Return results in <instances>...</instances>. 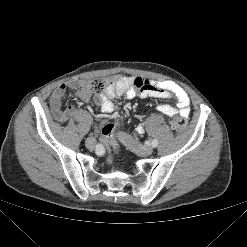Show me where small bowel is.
Returning a JSON list of instances; mask_svg holds the SVG:
<instances>
[{
	"mask_svg": "<svg viewBox=\"0 0 247 247\" xmlns=\"http://www.w3.org/2000/svg\"><path fill=\"white\" fill-rule=\"evenodd\" d=\"M67 90H74L76 96L82 101L88 102L91 99L90 92L83 81L71 80L58 85L50 97V109L54 119L58 122H67L77 114L73 105L62 108V98ZM136 96L152 97L157 99H174L177 101L176 107L169 104H159L157 110L168 116L180 115L184 118L190 116V100L186 91L178 84L171 81H151L144 78L118 77L110 79L106 91L94 98V102L100 107L103 114L110 116L114 111V99L124 97L132 99ZM137 130L142 131V126ZM102 141L105 145L113 143L112 135L103 136Z\"/></svg>",
	"mask_w": 247,
	"mask_h": 247,
	"instance_id": "c3829d8e",
	"label": "small bowel"
}]
</instances>
